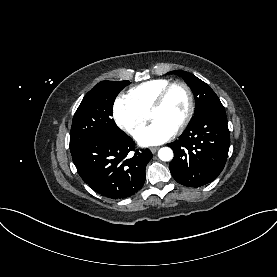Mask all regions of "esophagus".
<instances>
[{
    "label": "esophagus",
    "mask_w": 277,
    "mask_h": 277,
    "mask_svg": "<svg viewBox=\"0 0 277 277\" xmlns=\"http://www.w3.org/2000/svg\"><path fill=\"white\" fill-rule=\"evenodd\" d=\"M159 147H151L150 150L152 153H156Z\"/></svg>",
    "instance_id": "1"
}]
</instances>
